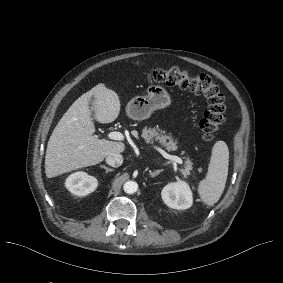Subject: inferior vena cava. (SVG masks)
<instances>
[{"label":"inferior vena cava","instance_id":"1","mask_svg":"<svg viewBox=\"0 0 283 283\" xmlns=\"http://www.w3.org/2000/svg\"><path fill=\"white\" fill-rule=\"evenodd\" d=\"M106 163L112 167H119L123 163V157L119 153H112L106 157Z\"/></svg>","mask_w":283,"mask_h":283}]
</instances>
